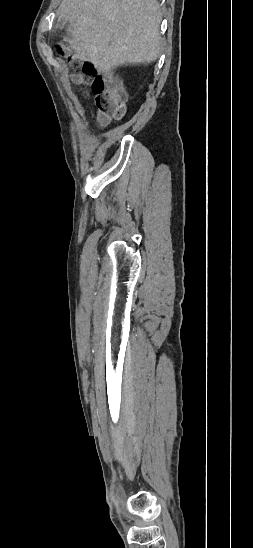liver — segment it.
Segmentation results:
<instances>
[{
    "label": "liver",
    "instance_id": "obj_1",
    "mask_svg": "<svg viewBox=\"0 0 253 548\" xmlns=\"http://www.w3.org/2000/svg\"><path fill=\"white\" fill-rule=\"evenodd\" d=\"M58 14L69 23L65 50L100 72L160 56L162 16L156 0H62Z\"/></svg>",
    "mask_w": 253,
    "mask_h": 548
}]
</instances>
